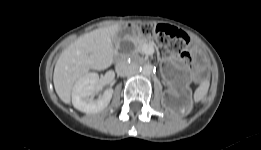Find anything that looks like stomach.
<instances>
[{
    "label": "stomach",
    "instance_id": "0dacf381",
    "mask_svg": "<svg viewBox=\"0 0 261 150\" xmlns=\"http://www.w3.org/2000/svg\"><path fill=\"white\" fill-rule=\"evenodd\" d=\"M135 36H136V33H135V31L133 30L130 37H133V38H134Z\"/></svg>",
    "mask_w": 261,
    "mask_h": 150
}]
</instances>
